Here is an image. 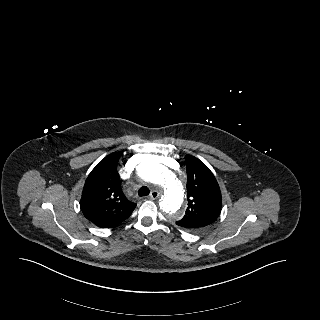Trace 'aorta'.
<instances>
[{
  "mask_svg": "<svg viewBox=\"0 0 320 320\" xmlns=\"http://www.w3.org/2000/svg\"><path fill=\"white\" fill-rule=\"evenodd\" d=\"M137 175L144 181L159 185L164 194L160 207L171 219H179L183 215V187L177 175L157 162L153 155H147L136 168Z\"/></svg>",
  "mask_w": 320,
  "mask_h": 320,
  "instance_id": "aorta-1",
  "label": "aorta"
}]
</instances>
